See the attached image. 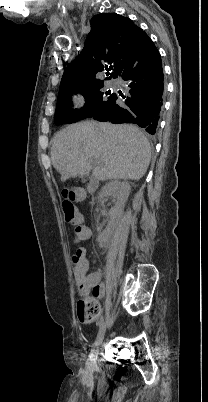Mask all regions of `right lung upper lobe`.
I'll return each instance as SVG.
<instances>
[{
    "mask_svg": "<svg viewBox=\"0 0 208 402\" xmlns=\"http://www.w3.org/2000/svg\"><path fill=\"white\" fill-rule=\"evenodd\" d=\"M144 33L132 20L116 13L95 15L82 53L65 68L60 92L96 81V74L107 65L113 70L109 78L117 77L124 58Z\"/></svg>",
    "mask_w": 208,
    "mask_h": 402,
    "instance_id": "cb5924a9",
    "label": "right lung upper lobe"
}]
</instances>
